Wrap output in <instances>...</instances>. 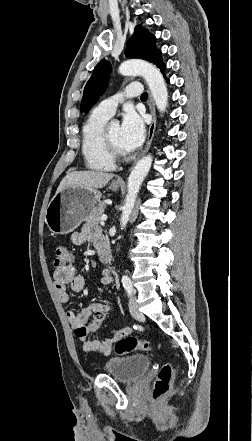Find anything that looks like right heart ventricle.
<instances>
[{"instance_id":"1","label":"right heart ventricle","mask_w":252,"mask_h":441,"mask_svg":"<svg viewBox=\"0 0 252 441\" xmlns=\"http://www.w3.org/2000/svg\"><path fill=\"white\" fill-rule=\"evenodd\" d=\"M109 117L94 110L82 126L81 152L85 166L92 171H113L116 163L105 153L102 133Z\"/></svg>"}]
</instances>
